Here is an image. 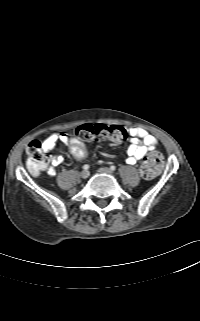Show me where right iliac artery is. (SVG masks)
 <instances>
[{
	"label": "right iliac artery",
	"mask_w": 200,
	"mask_h": 321,
	"mask_svg": "<svg viewBox=\"0 0 200 321\" xmlns=\"http://www.w3.org/2000/svg\"><path fill=\"white\" fill-rule=\"evenodd\" d=\"M83 169H84V170H88V169H89V165H87V164L84 165V166H83Z\"/></svg>",
	"instance_id": "1"
}]
</instances>
